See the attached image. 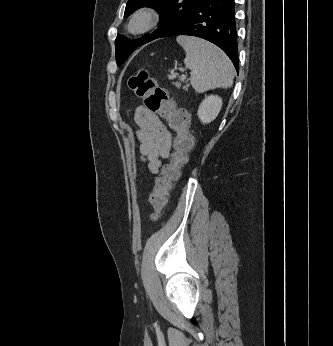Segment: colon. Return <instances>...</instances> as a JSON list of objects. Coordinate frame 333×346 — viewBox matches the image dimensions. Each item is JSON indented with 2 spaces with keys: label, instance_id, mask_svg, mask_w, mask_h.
I'll return each instance as SVG.
<instances>
[{
  "label": "colon",
  "instance_id": "1",
  "mask_svg": "<svg viewBox=\"0 0 333 346\" xmlns=\"http://www.w3.org/2000/svg\"><path fill=\"white\" fill-rule=\"evenodd\" d=\"M129 87L137 97L143 100L149 112L164 118L176 133L174 153L170 162L163 167L161 175L156 178L153 191L149 196L152 207L151 217L157 219L167 203V195L173 182L179 178L180 169L188 161V154L193 145V135L188 128L187 113L175 108L168 99L165 89L157 85L147 70L142 69L131 76Z\"/></svg>",
  "mask_w": 333,
  "mask_h": 346
}]
</instances>
